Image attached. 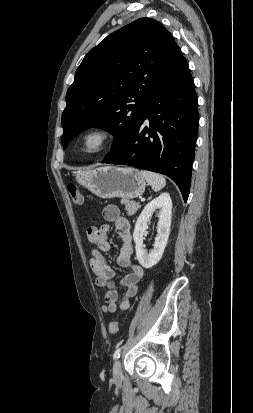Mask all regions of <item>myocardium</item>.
I'll list each match as a JSON object with an SVG mask.
<instances>
[{"mask_svg": "<svg viewBox=\"0 0 253 413\" xmlns=\"http://www.w3.org/2000/svg\"><path fill=\"white\" fill-rule=\"evenodd\" d=\"M97 139V144L92 149H86L84 144L88 138ZM114 133L103 126H92L84 130L77 139V146L80 153L84 155H96L108 149L114 142Z\"/></svg>", "mask_w": 253, "mask_h": 413, "instance_id": "f54148a6", "label": "myocardium"}]
</instances>
